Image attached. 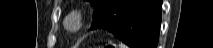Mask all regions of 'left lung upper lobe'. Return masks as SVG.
I'll use <instances>...</instances> for the list:
<instances>
[{"mask_svg": "<svg viewBox=\"0 0 213 48\" xmlns=\"http://www.w3.org/2000/svg\"><path fill=\"white\" fill-rule=\"evenodd\" d=\"M94 7L93 19L96 18L100 12L105 8V6L110 2V0H89Z\"/></svg>", "mask_w": 213, "mask_h": 48, "instance_id": "left-lung-upper-lobe-1", "label": "left lung upper lobe"}]
</instances>
